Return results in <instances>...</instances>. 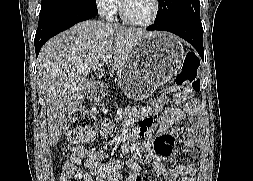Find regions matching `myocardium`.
I'll return each instance as SVG.
<instances>
[{"instance_id":"myocardium-1","label":"myocardium","mask_w":253,"mask_h":181,"mask_svg":"<svg viewBox=\"0 0 253 181\" xmlns=\"http://www.w3.org/2000/svg\"><path fill=\"white\" fill-rule=\"evenodd\" d=\"M154 8L152 15L150 16L149 19L144 20V21H138L132 19L125 8L123 0H120V12H121V17L124 20L125 23L132 25V26H137V27H148L151 26L155 23V21L158 18L159 12H160V0H153Z\"/></svg>"}]
</instances>
